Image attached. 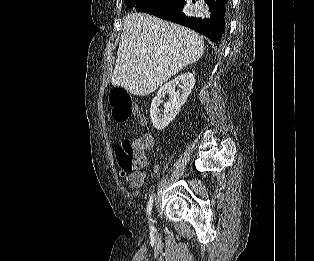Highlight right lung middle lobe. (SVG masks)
<instances>
[{
	"label": "right lung middle lobe",
	"instance_id": "1",
	"mask_svg": "<svg viewBox=\"0 0 314 261\" xmlns=\"http://www.w3.org/2000/svg\"><path fill=\"white\" fill-rule=\"evenodd\" d=\"M127 6L132 9L133 7L139 12H146L153 7L159 5L164 0H125Z\"/></svg>",
	"mask_w": 314,
	"mask_h": 261
}]
</instances>
